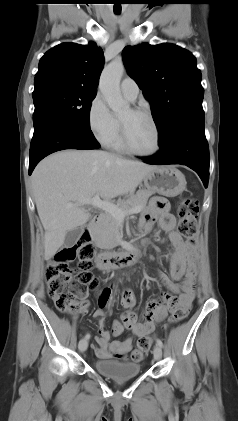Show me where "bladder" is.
Here are the masks:
<instances>
[{"label":"bladder","mask_w":238,"mask_h":421,"mask_svg":"<svg viewBox=\"0 0 238 421\" xmlns=\"http://www.w3.org/2000/svg\"><path fill=\"white\" fill-rule=\"evenodd\" d=\"M94 366L99 373L114 380L132 379L141 372V365L135 361L98 359Z\"/></svg>","instance_id":"31cf9c89"}]
</instances>
